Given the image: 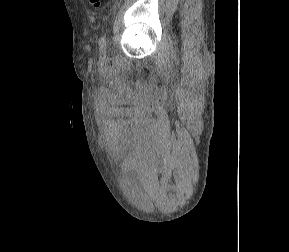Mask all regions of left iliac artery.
Listing matches in <instances>:
<instances>
[{"label":"left iliac artery","mask_w":289,"mask_h":252,"mask_svg":"<svg viewBox=\"0 0 289 252\" xmlns=\"http://www.w3.org/2000/svg\"><path fill=\"white\" fill-rule=\"evenodd\" d=\"M99 43H100L101 47H106V36L105 35L101 36Z\"/></svg>","instance_id":"left-iliac-artery-1"}]
</instances>
